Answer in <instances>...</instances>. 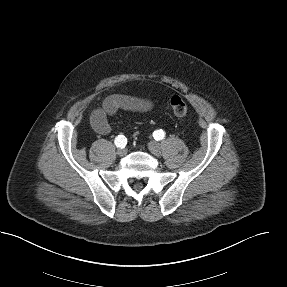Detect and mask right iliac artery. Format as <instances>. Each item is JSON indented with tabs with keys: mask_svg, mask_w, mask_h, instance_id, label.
I'll use <instances>...</instances> for the list:
<instances>
[{
	"mask_svg": "<svg viewBox=\"0 0 287 287\" xmlns=\"http://www.w3.org/2000/svg\"><path fill=\"white\" fill-rule=\"evenodd\" d=\"M115 145L119 148H124L127 144V139L123 135H118L115 140Z\"/></svg>",
	"mask_w": 287,
	"mask_h": 287,
	"instance_id": "right-iliac-artery-1",
	"label": "right iliac artery"
}]
</instances>
